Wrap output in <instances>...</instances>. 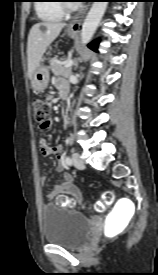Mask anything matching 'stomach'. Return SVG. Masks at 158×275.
Segmentation results:
<instances>
[{"mask_svg":"<svg viewBox=\"0 0 158 275\" xmlns=\"http://www.w3.org/2000/svg\"><path fill=\"white\" fill-rule=\"evenodd\" d=\"M67 34L71 38H74L76 36V32L69 29L67 30ZM48 82H49V70L45 65L40 64L35 69L32 75V78H31L32 88L36 93H40L46 89Z\"/></svg>","mask_w":158,"mask_h":275,"instance_id":"0dacf381","label":"stomach"}]
</instances>
